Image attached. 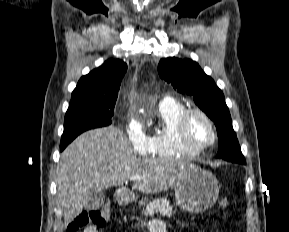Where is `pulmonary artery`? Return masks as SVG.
I'll list each match as a JSON object with an SVG mask.
<instances>
[{
	"label": "pulmonary artery",
	"instance_id": "pulmonary-artery-1",
	"mask_svg": "<svg viewBox=\"0 0 289 232\" xmlns=\"http://www.w3.org/2000/svg\"><path fill=\"white\" fill-rule=\"evenodd\" d=\"M169 98H164L160 103L167 101Z\"/></svg>",
	"mask_w": 289,
	"mask_h": 232
}]
</instances>
